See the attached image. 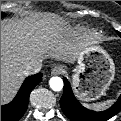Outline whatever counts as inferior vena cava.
Here are the masks:
<instances>
[{
  "label": "inferior vena cava",
  "instance_id": "602c4592",
  "mask_svg": "<svg viewBox=\"0 0 121 121\" xmlns=\"http://www.w3.org/2000/svg\"><path fill=\"white\" fill-rule=\"evenodd\" d=\"M42 68V60L39 58H28L21 66L24 75L36 74Z\"/></svg>",
  "mask_w": 121,
  "mask_h": 121
}]
</instances>
